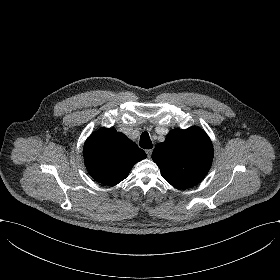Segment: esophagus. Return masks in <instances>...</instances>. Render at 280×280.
<instances>
[{
  "instance_id": "1",
  "label": "esophagus",
  "mask_w": 280,
  "mask_h": 280,
  "mask_svg": "<svg viewBox=\"0 0 280 280\" xmlns=\"http://www.w3.org/2000/svg\"><path fill=\"white\" fill-rule=\"evenodd\" d=\"M145 152H146V154H147V157H148V158H151V156H152V150H151V149L145 150Z\"/></svg>"
}]
</instances>
